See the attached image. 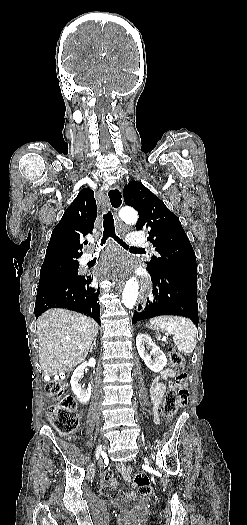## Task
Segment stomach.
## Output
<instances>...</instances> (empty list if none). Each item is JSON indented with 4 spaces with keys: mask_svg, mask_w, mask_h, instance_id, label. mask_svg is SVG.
<instances>
[{
    "mask_svg": "<svg viewBox=\"0 0 247 525\" xmlns=\"http://www.w3.org/2000/svg\"><path fill=\"white\" fill-rule=\"evenodd\" d=\"M155 330H156L158 333H159L160 331H163V332L165 331L164 329L157 328V327L155 328Z\"/></svg>",
    "mask_w": 247,
    "mask_h": 525,
    "instance_id": "1",
    "label": "stomach"
}]
</instances>
